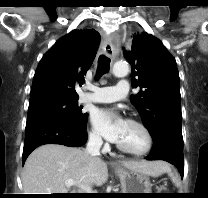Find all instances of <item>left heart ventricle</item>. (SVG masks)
<instances>
[{"instance_id":"obj_1","label":"left heart ventricle","mask_w":208,"mask_h":198,"mask_svg":"<svg viewBox=\"0 0 208 198\" xmlns=\"http://www.w3.org/2000/svg\"><path fill=\"white\" fill-rule=\"evenodd\" d=\"M117 143L133 150H140L144 148L146 140L138 127L126 122Z\"/></svg>"}]
</instances>
